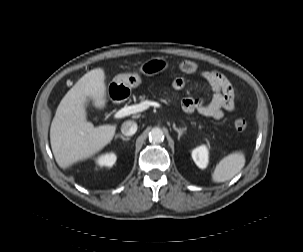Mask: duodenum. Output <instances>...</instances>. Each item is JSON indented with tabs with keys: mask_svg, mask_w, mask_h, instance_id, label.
<instances>
[{
	"mask_svg": "<svg viewBox=\"0 0 303 252\" xmlns=\"http://www.w3.org/2000/svg\"><path fill=\"white\" fill-rule=\"evenodd\" d=\"M126 88L122 85L116 86L114 92H112V98L120 100L125 93Z\"/></svg>",
	"mask_w": 303,
	"mask_h": 252,
	"instance_id": "410a0bca",
	"label": "duodenum"
}]
</instances>
